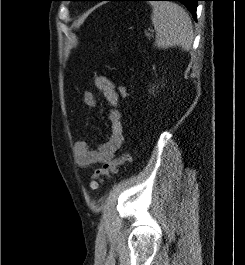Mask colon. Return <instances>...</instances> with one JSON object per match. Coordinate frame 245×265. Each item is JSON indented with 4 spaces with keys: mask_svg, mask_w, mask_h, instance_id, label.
<instances>
[{
    "mask_svg": "<svg viewBox=\"0 0 245 265\" xmlns=\"http://www.w3.org/2000/svg\"><path fill=\"white\" fill-rule=\"evenodd\" d=\"M119 93L123 98H125L128 95V90L125 86H121L119 87ZM127 159L128 154L124 153L118 156L117 158L104 163L103 166L98 168L92 175L89 187L92 190H96L99 186L101 179L105 176H109L110 174L115 173L118 167L123 164Z\"/></svg>",
    "mask_w": 245,
    "mask_h": 265,
    "instance_id": "1",
    "label": "colon"
}]
</instances>
